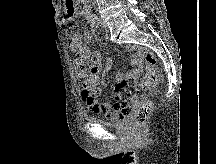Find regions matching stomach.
<instances>
[{"instance_id": "obj_1", "label": "stomach", "mask_w": 216, "mask_h": 164, "mask_svg": "<svg viewBox=\"0 0 216 164\" xmlns=\"http://www.w3.org/2000/svg\"><path fill=\"white\" fill-rule=\"evenodd\" d=\"M66 4V7H64V12H66V15L62 16L63 20H75V17H77L78 7H75V4L72 3L73 0H64Z\"/></svg>"}]
</instances>
